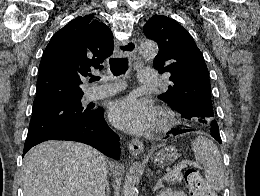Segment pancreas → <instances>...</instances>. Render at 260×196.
I'll use <instances>...</instances> for the list:
<instances>
[{
  "instance_id": "cf45deb5",
  "label": "pancreas",
  "mask_w": 260,
  "mask_h": 196,
  "mask_svg": "<svg viewBox=\"0 0 260 196\" xmlns=\"http://www.w3.org/2000/svg\"><path fill=\"white\" fill-rule=\"evenodd\" d=\"M181 180H182V174H177L175 178H171V180H169V184H172V182H181Z\"/></svg>"
}]
</instances>
